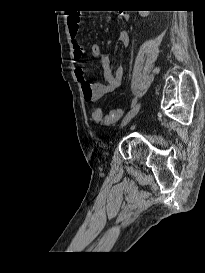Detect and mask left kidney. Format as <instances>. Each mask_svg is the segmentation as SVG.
Wrapping results in <instances>:
<instances>
[{
    "mask_svg": "<svg viewBox=\"0 0 205 273\" xmlns=\"http://www.w3.org/2000/svg\"><path fill=\"white\" fill-rule=\"evenodd\" d=\"M139 13L142 17H146L149 15L150 11H139Z\"/></svg>",
    "mask_w": 205,
    "mask_h": 273,
    "instance_id": "left-kidney-1",
    "label": "left kidney"
}]
</instances>
